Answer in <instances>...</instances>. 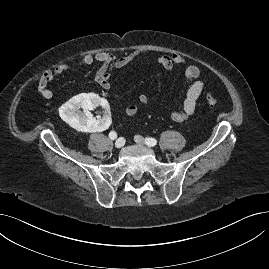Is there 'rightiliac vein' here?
<instances>
[{
	"label": "right iliac vein",
	"mask_w": 269,
	"mask_h": 269,
	"mask_svg": "<svg viewBox=\"0 0 269 269\" xmlns=\"http://www.w3.org/2000/svg\"><path fill=\"white\" fill-rule=\"evenodd\" d=\"M124 144H125V139L124 138H119L115 142V147L120 149V148H122L124 146Z\"/></svg>",
	"instance_id": "63e3f726"
}]
</instances>
